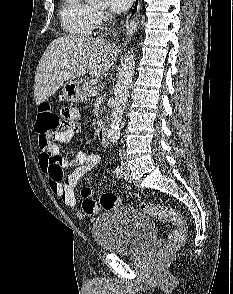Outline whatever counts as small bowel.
<instances>
[{
	"instance_id": "c3829d8e",
	"label": "small bowel",
	"mask_w": 233,
	"mask_h": 294,
	"mask_svg": "<svg viewBox=\"0 0 233 294\" xmlns=\"http://www.w3.org/2000/svg\"><path fill=\"white\" fill-rule=\"evenodd\" d=\"M63 121H60V128L66 129L55 136L59 143H69L74 135L80 131L78 120L80 113L77 109L65 108L62 114ZM52 154L54 156H45ZM99 156L78 151L74 156H61L60 149L53 144L51 149H42L39 163L42 172L48 180L51 190L63 201L72 211L76 212L79 218L94 217L100 210L99 204L93 199L94 187L87 186L82 189V210H77L75 188L79 180L92 171L99 164ZM63 168H73L67 175L63 174Z\"/></svg>"
}]
</instances>
